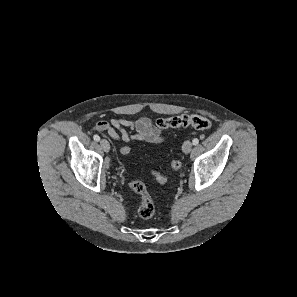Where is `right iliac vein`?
I'll list each match as a JSON object with an SVG mask.
<instances>
[{"instance_id":"63e3f726","label":"right iliac vein","mask_w":297,"mask_h":297,"mask_svg":"<svg viewBox=\"0 0 297 297\" xmlns=\"http://www.w3.org/2000/svg\"><path fill=\"white\" fill-rule=\"evenodd\" d=\"M100 145H101V148L105 151V152H109L110 150V145H109V142L105 139H102L100 141Z\"/></svg>"}]
</instances>
